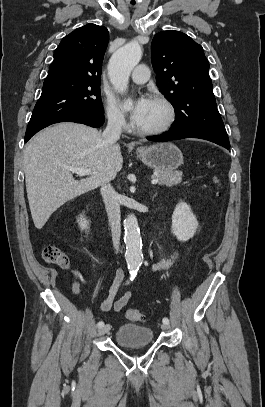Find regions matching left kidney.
I'll list each match as a JSON object with an SVG mask.
<instances>
[{"mask_svg":"<svg viewBox=\"0 0 265 407\" xmlns=\"http://www.w3.org/2000/svg\"><path fill=\"white\" fill-rule=\"evenodd\" d=\"M198 228V221L190 206L180 202L172 215V233L179 241L185 242L192 238Z\"/></svg>","mask_w":265,"mask_h":407,"instance_id":"5707ae66","label":"left kidney"}]
</instances>
